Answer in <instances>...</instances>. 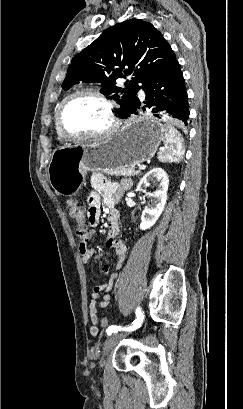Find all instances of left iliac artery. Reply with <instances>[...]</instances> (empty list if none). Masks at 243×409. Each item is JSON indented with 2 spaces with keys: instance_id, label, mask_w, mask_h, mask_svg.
<instances>
[{
  "instance_id": "44dca946",
  "label": "left iliac artery",
  "mask_w": 243,
  "mask_h": 409,
  "mask_svg": "<svg viewBox=\"0 0 243 409\" xmlns=\"http://www.w3.org/2000/svg\"><path fill=\"white\" fill-rule=\"evenodd\" d=\"M136 320L133 322V324L129 327H121V326H110L107 329V335H111L112 333H117L121 330L123 331H134L137 328H139L144 320V315L140 307H137L136 309Z\"/></svg>"
}]
</instances>
